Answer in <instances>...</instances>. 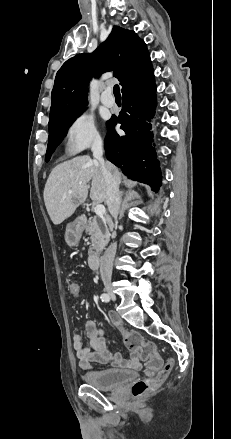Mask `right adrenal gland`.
I'll list each match as a JSON object with an SVG mask.
<instances>
[{
  "label": "right adrenal gland",
  "instance_id": "2a0ac1e0",
  "mask_svg": "<svg viewBox=\"0 0 231 439\" xmlns=\"http://www.w3.org/2000/svg\"><path fill=\"white\" fill-rule=\"evenodd\" d=\"M141 203V200H135V196L133 193L126 194L121 201V209L119 211V219H122L124 216V212L131 206L137 205Z\"/></svg>",
  "mask_w": 231,
  "mask_h": 439
}]
</instances>
